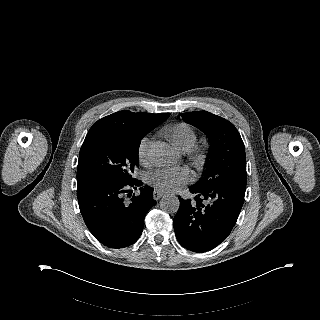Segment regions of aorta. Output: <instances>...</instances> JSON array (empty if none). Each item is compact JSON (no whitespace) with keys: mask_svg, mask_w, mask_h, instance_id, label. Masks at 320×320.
<instances>
[{"mask_svg":"<svg viewBox=\"0 0 320 320\" xmlns=\"http://www.w3.org/2000/svg\"><path fill=\"white\" fill-rule=\"evenodd\" d=\"M149 156L153 163L158 166H163L170 161L172 157V150L167 144L159 142L152 146ZM179 206V199L175 195L163 196L160 201L161 209L167 213H176Z\"/></svg>","mask_w":320,"mask_h":320,"instance_id":"aorta-1","label":"aorta"}]
</instances>
